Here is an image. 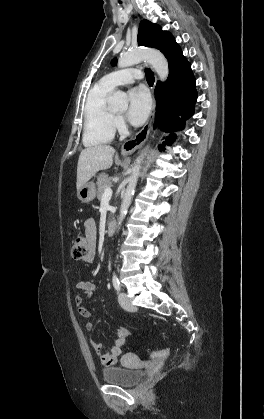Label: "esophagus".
Masks as SVG:
<instances>
[{
	"mask_svg": "<svg viewBox=\"0 0 264 419\" xmlns=\"http://www.w3.org/2000/svg\"><path fill=\"white\" fill-rule=\"evenodd\" d=\"M155 112V104L153 105L152 113L149 120L145 123L143 128L131 139L125 141L121 146V153L123 155H130L135 152L148 138L151 122Z\"/></svg>",
	"mask_w": 264,
	"mask_h": 419,
	"instance_id": "obj_1",
	"label": "esophagus"
}]
</instances>
